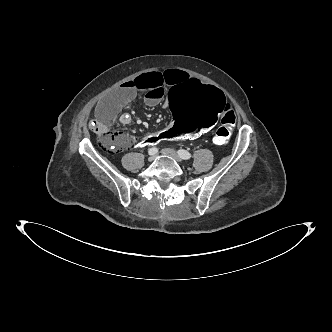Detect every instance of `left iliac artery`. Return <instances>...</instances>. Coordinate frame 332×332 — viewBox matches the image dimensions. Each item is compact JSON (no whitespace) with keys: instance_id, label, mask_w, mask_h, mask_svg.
<instances>
[{"instance_id":"left-iliac-artery-1","label":"left iliac artery","mask_w":332,"mask_h":332,"mask_svg":"<svg viewBox=\"0 0 332 332\" xmlns=\"http://www.w3.org/2000/svg\"><path fill=\"white\" fill-rule=\"evenodd\" d=\"M178 155L184 160H189L192 157V155L184 149L178 150Z\"/></svg>"}]
</instances>
